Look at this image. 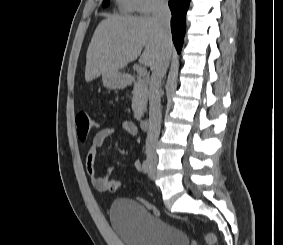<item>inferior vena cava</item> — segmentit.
<instances>
[{"label": "inferior vena cava", "instance_id": "1", "mask_svg": "<svg viewBox=\"0 0 283 245\" xmlns=\"http://www.w3.org/2000/svg\"><path fill=\"white\" fill-rule=\"evenodd\" d=\"M152 19L158 24L162 40V57L152 70L149 87V128L146 139V154L149 159H156L157 146L161 128V81L165 76L171 53L169 45L172 44L170 9L165 0H154L152 5Z\"/></svg>", "mask_w": 283, "mask_h": 245}]
</instances>
